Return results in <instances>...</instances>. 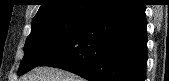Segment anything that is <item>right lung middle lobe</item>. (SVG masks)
<instances>
[{"instance_id":"1","label":"right lung middle lobe","mask_w":169,"mask_h":81,"mask_svg":"<svg viewBox=\"0 0 169 81\" xmlns=\"http://www.w3.org/2000/svg\"><path fill=\"white\" fill-rule=\"evenodd\" d=\"M87 20L84 17L62 15L33 21L18 74L22 75L43 63L60 49Z\"/></svg>"}]
</instances>
